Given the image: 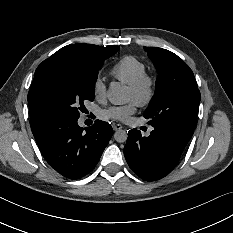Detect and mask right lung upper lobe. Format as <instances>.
<instances>
[{
  "label": "right lung upper lobe",
  "instance_id": "obj_1",
  "mask_svg": "<svg viewBox=\"0 0 233 233\" xmlns=\"http://www.w3.org/2000/svg\"><path fill=\"white\" fill-rule=\"evenodd\" d=\"M118 50L119 47L115 45L100 47L98 45L78 43L67 45L52 56H69L88 64H96L103 63Z\"/></svg>",
  "mask_w": 233,
  "mask_h": 233
}]
</instances>
